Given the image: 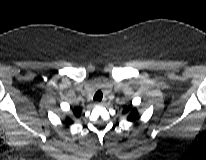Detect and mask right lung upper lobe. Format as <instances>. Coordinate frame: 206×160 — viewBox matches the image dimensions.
<instances>
[{
    "instance_id": "obj_1",
    "label": "right lung upper lobe",
    "mask_w": 206,
    "mask_h": 160,
    "mask_svg": "<svg viewBox=\"0 0 206 160\" xmlns=\"http://www.w3.org/2000/svg\"><path fill=\"white\" fill-rule=\"evenodd\" d=\"M72 110H73V113H74L75 117H79L80 116V114H81V109L80 108L75 107ZM66 123L67 124H72L73 121L70 118H67L66 119Z\"/></svg>"
}]
</instances>
